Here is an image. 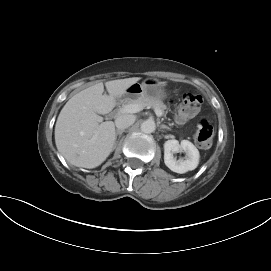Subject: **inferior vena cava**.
I'll return each mask as SVG.
<instances>
[{
	"label": "inferior vena cava",
	"mask_w": 271,
	"mask_h": 271,
	"mask_svg": "<svg viewBox=\"0 0 271 271\" xmlns=\"http://www.w3.org/2000/svg\"><path fill=\"white\" fill-rule=\"evenodd\" d=\"M135 122V117L133 115L123 114L119 115L115 120V125L118 130H124L130 127Z\"/></svg>",
	"instance_id": "1"
}]
</instances>
